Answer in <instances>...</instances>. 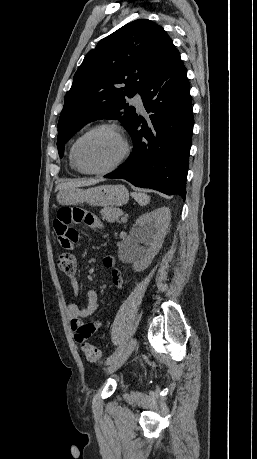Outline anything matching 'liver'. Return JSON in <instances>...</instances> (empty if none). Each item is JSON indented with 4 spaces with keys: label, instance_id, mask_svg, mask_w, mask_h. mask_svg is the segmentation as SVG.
Returning <instances> with one entry per match:
<instances>
[{
    "label": "liver",
    "instance_id": "1",
    "mask_svg": "<svg viewBox=\"0 0 257 459\" xmlns=\"http://www.w3.org/2000/svg\"><path fill=\"white\" fill-rule=\"evenodd\" d=\"M101 180L98 179H84V180H72L69 182L58 184L56 191L66 190L70 188H78L83 186H90L99 183Z\"/></svg>",
    "mask_w": 257,
    "mask_h": 459
}]
</instances>
